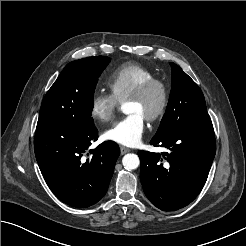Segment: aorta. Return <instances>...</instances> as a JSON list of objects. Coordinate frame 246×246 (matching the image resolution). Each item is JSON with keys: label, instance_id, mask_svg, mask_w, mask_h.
<instances>
[{"label": "aorta", "instance_id": "1", "mask_svg": "<svg viewBox=\"0 0 246 246\" xmlns=\"http://www.w3.org/2000/svg\"><path fill=\"white\" fill-rule=\"evenodd\" d=\"M124 108L125 106L123 105L121 107L122 111H125ZM122 164L127 170L137 169L140 164L139 157L133 153L126 154L122 159Z\"/></svg>", "mask_w": 246, "mask_h": 246}]
</instances>
